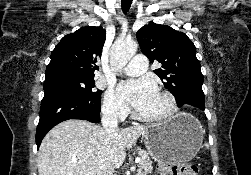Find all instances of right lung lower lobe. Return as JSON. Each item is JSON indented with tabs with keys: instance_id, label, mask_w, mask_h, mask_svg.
I'll return each mask as SVG.
<instances>
[{
	"instance_id": "98d812e1",
	"label": "right lung lower lobe",
	"mask_w": 251,
	"mask_h": 175,
	"mask_svg": "<svg viewBox=\"0 0 251 175\" xmlns=\"http://www.w3.org/2000/svg\"><path fill=\"white\" fill-rule=\"evenodd\" d=\"M44 93L36 131L37 149L47 132L62 121L69 119H82L93 123L100 121L101 94L81 96L63 89H49Z\"/></svg>"
}]
</instances>
